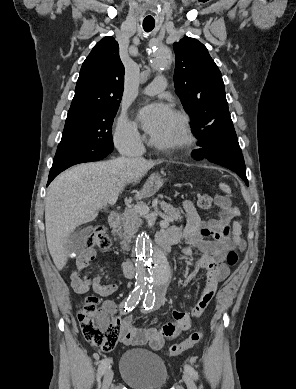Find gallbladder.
Segmentation results:
<instances>
[{"label": "gallbladder", "mask_w": 296, "mask_h": 389, "mask_svg": "<svg viewBox=\"0 0 296 389\" xmlns=\"http://www.w3.org/2000/svg\"><path fill=\"white\" fill-rule=\"evenodd\" d=\"M90 229L91 227H87L85 229L72 233L69 236L67 243L64 245L66 251L74 255L79 254L83 249L84 238L88 234Z\"/></svg>", "instance_id": "1"}]
</instances>
